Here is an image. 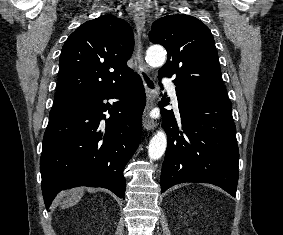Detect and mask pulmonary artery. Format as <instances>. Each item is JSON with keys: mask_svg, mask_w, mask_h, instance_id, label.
Here are the masks:
<instances>
[{"mask_svg": "<svg viewBox=\"0 0 283 235\" xmlns=\"http://www.w3.org/2000/svg\"><path fill=\"white\" fill-rule=\"evenodd\" d=\"M165 84H166L167 88L169 89V91L172 94V101H173V103L175 105H177L178 102H177V96L175 95V91H176L175 85L172 82L168 81V80L165 81Z\"/></svg>", "mask_w": 283, "mask_h": 235, "instance_id": "obj_1", "label": "pulmonary artery"}]
</instances>
